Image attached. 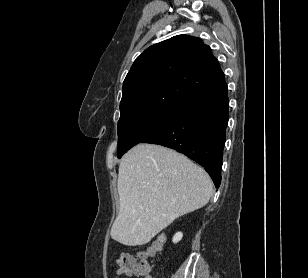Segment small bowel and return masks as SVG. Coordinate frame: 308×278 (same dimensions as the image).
Returning <instances> with one entry per match:
<instances>
[{"instance_id": "obj_1", "label": "small bowel", "mask_w": 308, "mask_h": 278, "mask_svg": "<svg viewBox=\"0 0 308 278\" xmlns=\"http://www.w3.org/2000/svg\"><path fill=\"white\" fill-rule=\"evenodd\" d=\"M118 276H122L123 273L121 271L118 270ZM145 278H153L150 274V267L148 266V274L145 276Z\"/></svg>"}]
</instances>
